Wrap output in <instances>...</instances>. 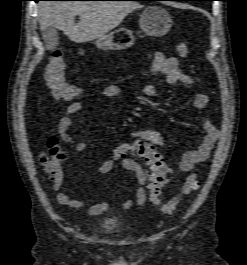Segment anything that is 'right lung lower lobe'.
Segmentation results:
<instances>
[{"label":"right lung lower lobe","instance_id":"98d812e1","mask_svg":"<svg viewBox=\"0 0 247 265\" xmlns=\"http://www.w3.org/2000/svg\"><path fill=\"white\" fill-rule=\"evenodd\" d=\"M34 1H36V2H37V1H40V0H34ZM136 1H139V0H136Z\"/></svg>","mask_w":247,"mask_h":265}]
</instances>
